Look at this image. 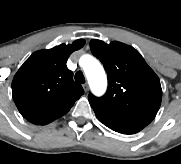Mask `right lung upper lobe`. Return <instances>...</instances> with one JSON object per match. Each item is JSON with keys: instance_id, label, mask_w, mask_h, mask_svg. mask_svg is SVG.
Returning <instances> with one entry per match:
<instances>
[{"instance_id": "1", "label": "right lung upper lobe", "mask_w": 181, "mask_h": 164, "mask_svg": "<svg viewBox=\"0 0 181 164\" xmlns=\"http://www.w3.org/2000/svg\"><path fill=\"white\" fill-rule=\"evenodd\" d=\"M84 44L79 39L71 45L37 51L20 67L12 82L13 99L29 122L37 125L52 122L66 114L84 93L66 66L70 54Z\"/></svg>"}]
</instances>
